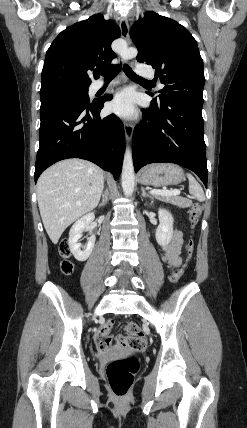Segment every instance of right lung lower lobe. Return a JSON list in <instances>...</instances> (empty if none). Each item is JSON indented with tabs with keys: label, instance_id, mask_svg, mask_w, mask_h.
Instances as JSON below:
<instances>
[{
	"label": "right lung lower lobe",
	"instance_id": "98d812e1",
	"mask_svg": "<svg viewBox=\"0 0 247 428\" xmlns=\"http://www.w3.org/2000/svg\"><path fill=\"white\" fill-rule=\"evenodd\" d=\"M110 95L92 103L52 102L40 107V145L35 182L40 174L66 158L89 160L118 179L125 149L124 127L116 115L103 119L100 111Z\"/></svg>",
	"mask_w": 247,
	"mask_h": 428
}]
</instances>
